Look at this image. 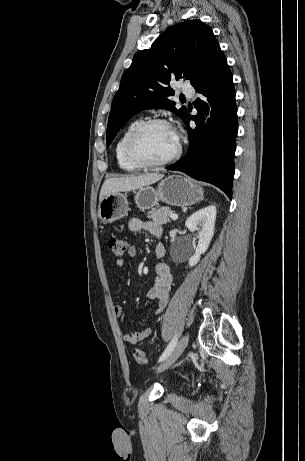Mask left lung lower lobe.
Returning <instances> with one entry per match:
<instances>
[{
  "label": "left lung lower lobe",
  "mask_w": 305,
  "mask_h": 461,
  "mask_svg": "<svg viewBox=\"0 0 305 461\" xmlns=\"http://www.w3.org/2000/svg\"><path fill=\"white\" fill-rule=\"evenodd\" d=\"M193 87L207 97L212 108V122L208 132L204 133V114L209 106L198 98L195 102L198 114L192 117L196 127H189V113L183 120L188 128V151L182 159L166 168L214 184L231 198L238 132L237 107L233 77L222 51Z\"/></svg>",
  "instance_id": "0a47b994"
}]
</instances>
